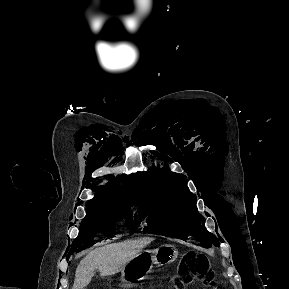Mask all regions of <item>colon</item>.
<instances>
[{
	"instance_id": "colon-1",
	"label": "colon",
	"mask_w": 289,
	"mask_h": 289,
	"mask_svg": "<svg viewBox=\"0 0 289 289\" xmlns=\"http://www.w3.org/2000/svg\"><path fill=\"white\" fill-rule=\"evenodd\" d=\"M175 281L179 287L191 284L211 285L213 283L212 271L199 254L192 252L188 255L184 267Z\"/></svg>"
}]
</instances>
